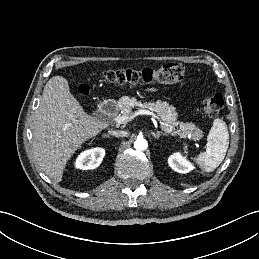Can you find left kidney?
Masks as SVG:
<instances>
[{
	"label": "left kidney",
	"mask_w": 259,
	"mask_h": 259,
	"mask_svg": "<svg viewBox=\"0 0 259 259\" xmlns=\"http://www.w3.org/2000/svg\"><path fill=\"white\" fill-rule=\"evenodd\" d=\"M169 166L178 173H188L194 166L180 153H174L168 158Z\"/></svg>",
	"instance_id": "5707ae66"
}]
</instances>
